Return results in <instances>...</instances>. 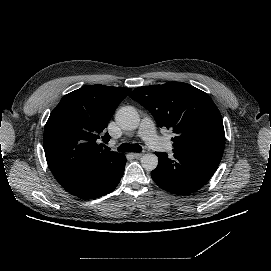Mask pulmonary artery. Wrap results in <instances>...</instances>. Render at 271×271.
Instances as JSON below:
<instances>
[{"label": "pulmonary artery", "instance_id": "1", "mask_svg": "<svg viewBox=\"0 0 271 271\" xmlns=\"http://www.w3.org/2000/svg\"><path fill=\"white\" fill-rule=\"evenodd\" d=\"M138 135L147 143L150 144L152 139L156 137L154 123L150 118H144L138 130Z\"/></svg>", "mask_w": 271, "mask_h": 271}]
</instances>
